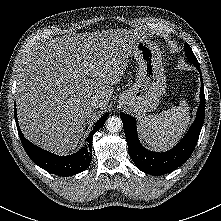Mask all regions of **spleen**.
Returning a JSON list of instances; mask_svg holds the SVG:
<instances>
[{
	"instance_id": "spleen-1",
	"label": "spleen",
	"mask_w": 221,
	"mask_h": 221,
	"mask_svg": "<svg viewBox=\"0 0 221 221\" xmlns=\"http://www.w3.org/2000/svg\"><path fill=\"white\" fill-rule=\"evenodd\" d=\"M190 120L189 107L185 100L157 115L139 117V131L142 138L155 150L173 146L186 131Z\"/></svg>"
}]
</instances>
